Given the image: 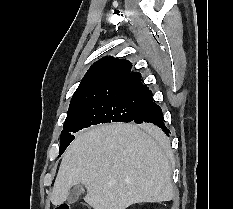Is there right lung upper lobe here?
Masks as SVG:
<instances>
[{"mask_svg":"<svg viewBox=\"0 0 233 209\" xmlns=\"http://www.w3.org/2000/svg\"><path fill=\"white\" fill-rule=\"evenodd\" d=\"M128 60L104 57L95 62L75 91L68 110L101 101H122L147 105L152 92L141 82L139 72H131Z\"/></svg>","mask_w":233,"mask_h":209,"instance_id":"cb5924a9","label":"right lung upper lobe"}]
</instances>
